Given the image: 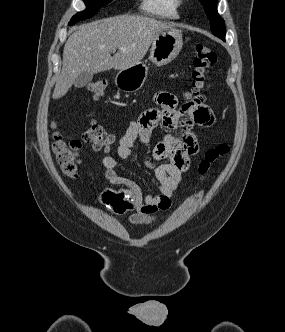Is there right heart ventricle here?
Segmentation results:
<instances>
[{
    "instance_id": "e07e8e85",
    "label": "right heart ventricle",
    "mask_w": 285,
    "mask_h": 332,
    "mask_svg": "<svg viewBox=\"0 0 285 332\" xmlns=\"http://www.w3.org/2000/svg\"><path fill=\"white\" fill-rule=\"evenodd\" d=\"M142 13L154 18L174 20L179 18V4L177 0H141Z\"/></svg>"
}]
</instances>
